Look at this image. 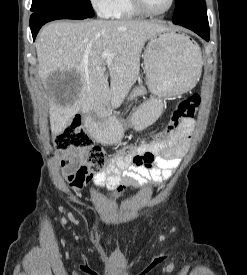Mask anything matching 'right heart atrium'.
<instances>
[{"label":"right heart atrium","mask_w":247,"mask_h":275,"mask_svg":"<svg viewBox=\"0 0 247 275\" xmlns=\"http://www.w3.org/2000/svg\"><path fill=\"white\" fill-rule=\"evenodd\" d=\"M90 3L100 16H110L113 0H90Z\"/></svg>","instance_id":"d8ad5b80"}]
</instances>
